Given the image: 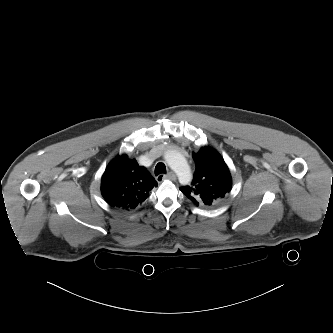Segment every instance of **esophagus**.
I'll use <instances>...</instances> for the list:
<instances>
[{
    "instance_id": "esophagus-1",
    "label": "esophagus",
    "mask_w": 333,
    "mask_h": 333,
    "mask_svg": "<svg viewBox=\"0 0 333 333\" xmlns=\"http://www.w3.org/2000/svg\"><path fill=\"white\" fill-rule=\"evenodd\" d=\"M156 180H157V182H162L163 180H172V181H175L176 180V176H175V174L173 172H169L166 175H162V174L158 175L156 177Z\"/></svg>"
}]
</instances>
